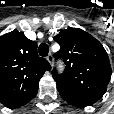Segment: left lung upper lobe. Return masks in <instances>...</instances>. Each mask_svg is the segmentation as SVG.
<instances>
[{"label": "left lung upper lobe", "mask_w": 114, "mask_h": 114, "mask_svg": "<svg viewBox=\"0 0 114 114\" xmlns=\"http://www.w3.org/2000/svg\"><path fill=\"white\" fill-rule=\"evenodd\" d=\"M60 50L55 58H62L63 74L52 71L57 89L99 100L106 92L112 69L102 44L79 28H68L55 36Z\"/></svg>", "instance_id": "left-lung-upper-lobe-1"}]
</instances>
